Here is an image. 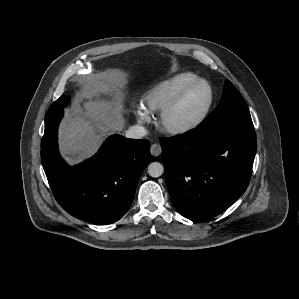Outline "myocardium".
I'll use <instances>...</instances> for the list:
<instances>
[{
    "mask_svg": "<svg viewBox=\"0 0 299 299\" xmlns=\"http://www.w3.org/2000/svg\"><path fill=\"white\" fill-rule=\"evenodd\" d=\"M199 85H205L209 91L208 102L205 108L203 109V111L201 112V114L195 120L186 124H182V125L170 124L168 122V116L171 113V111L179 104V102L191 89ZM214 99H215V93L213 87L208 81L204 79H197L189 83L188 85L184 86L173 98H171L160 110L158 121H157L159 128L163 132L172 135H183L196 130L205 122L208 115L210 114V111L214 104Z\"/></svg>",
    "mask_w": 299,
    "mask_h": 299,
    "instance_id": "f54148a6",
    "label": "myocardium"
}]
</instances>
